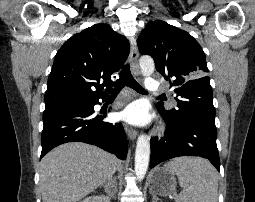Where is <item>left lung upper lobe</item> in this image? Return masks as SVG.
Instances as JSON below:
<instances>
[{
  "label": "left lung upper lobe",
  "mask_w": 255,
  "mask_h": 202,
  "mask_svg": "<svg viewBox=\"0 0 255 202\" xmlns=\"http://www.w3.org/2000/svg\"><path fill=\"white\" fill-rule=\"evenodd\" d=\"M141 54L150 55L156 69L175 86L177 109L156 107L166 119L178 123L199 119L215 124L213 94L205 53L186 31L164 21L148 23L137 39Z\"/></svg>",
  "instance_id": "5c2ea615"
}]
</instances>
